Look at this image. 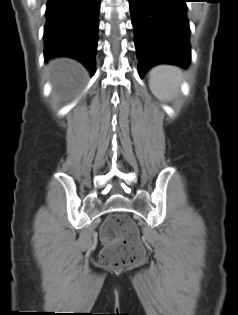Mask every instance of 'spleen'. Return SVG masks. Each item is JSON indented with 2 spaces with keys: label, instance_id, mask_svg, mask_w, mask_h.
Segmentation results:
<instances>
[{
  "label": "spleen",
  "instance_id": "3e777b00",
  "mask_svg": "<svg viewBox=\"0 0 238 315\" xmlns=\"http://www.w3.org/2000/svg\"><path fill=\"white\" fill-rule=\"evenodd\" d=\"M183 71L172 65H158L149 73V86L153 94L163 101H170L180 92Z\"/></svg>",
  "mask_w": 238,
  "mask_h": 315
}]
</instances>
